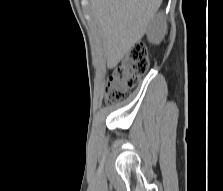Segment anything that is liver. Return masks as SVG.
I'll use <instances>...</instances> for the list:
<instances>
[{"instance_id": "1", "label": "liver", "mask_w": 223, "mask_h": 191, "mask_svg": "<svg viewBox=\"0 0 223 191\" xmlns=\"http://www.w3.org/2000/svg\"><path fill=\"white\" fill-rule=\"evenodd\" d=\"M162 0H91L108 68L115 67L147 31Z\"/></svg>"}]
</instances>
